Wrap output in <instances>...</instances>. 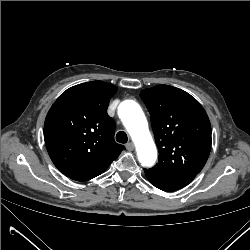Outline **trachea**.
Listing matches in <instances>:
<instances>
[{"label": "trachea", "instance_id": "3493384b", "mask_svg": "<svg viewBox=\"0 0 250 250\" xmlns=\"http://www.w3.org/2000/svg\"><path fill=\"white\" fill-rule=\"evenodd\" d=\"M116 141L119 143H127L128 142V136L125 132L120 131L116 135Z\"/></svg>", "mask_w": 250, "mask_h": 250}]
</instances>
